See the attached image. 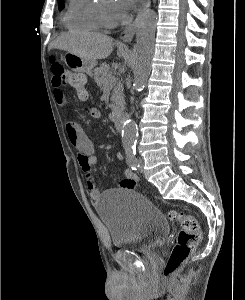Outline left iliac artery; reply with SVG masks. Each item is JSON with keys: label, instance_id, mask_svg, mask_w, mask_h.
<instances>
[{"label": "left iliac artery", "instance_id": "obj_1", "mask_svg": "<svg viewBox=\"0 0 245 300\" xmlns=\"http://www.w3.org/2000/svg\"><path fill=\"white\" fill-rule=\"evenodd\" d=\"M126 160L132 170H137V168H139L135 146L126 147Z\"/></svg>", "mask_w": 245, "mask_h": 300}]
</instances>
